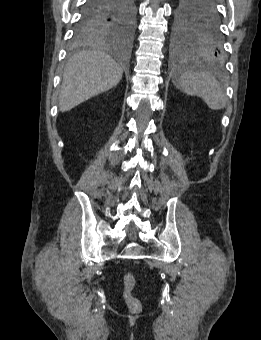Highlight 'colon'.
<instances>
[{"label":"colon","mask_w":261,"mask_h":340,"mask_svg":"<svg viewBox=\"0 0 261 340\" xmlns=\"http://www.w3.org/2000/svg\"><path fill=\"white\" fill-rule=\"evenodd\" d=\"M135 283V277L132 273L127 272L123 275L124 299L132 312H138L141 309V303L133 293Z\"/></svg>","instance_id":"colon-1"}]
</instances>
